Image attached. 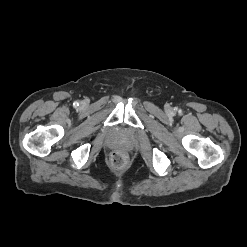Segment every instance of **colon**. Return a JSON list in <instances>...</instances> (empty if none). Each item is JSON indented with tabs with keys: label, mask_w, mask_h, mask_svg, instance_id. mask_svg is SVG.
Segmentation results:
<instances>
[{
	"label": "colon",
	"mask_w": 247,
	"mask_h": 247,
	"mask_svg": "<svg viewBox=\"0 0 247 247\" xmlns=\"http://www.w3.org/2000/svg\"><path fill=\"white\" fill-rule=\"evenodd\" d=\"M110 162L115 168H122L125 164V157L120 152H114L111 155Z\"/></svg>",
	"instance_id": "colon-1"
}]
</instances>
